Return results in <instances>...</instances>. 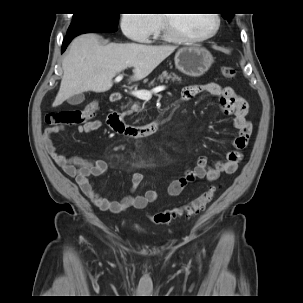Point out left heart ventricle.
I'll list each match as a JSON object with an SVG mask.
<instances>
[{
  "label": "left heart ventricle",
  "mask_w": 303,
  "mask_h": 303,
  "mask_svg": "<svg viewBox=\"0 0 303 303\" xmlns=\"http://www.w3.org/2000/svg\"><path fill=\"white\" fill-rule=\"evenodd\" d=\"M173 27L188 36H201L208 33L215 24L212 14H170Z\"/></svg>",
  "instance_id": "1"
}]
</instances>
